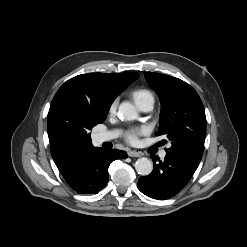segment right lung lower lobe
Instances as JSON below:
<instances>
[{
  "label": "right lung lower lobe",
  "instance_id": "1",
  "mask_svg": "<svg viewBox=\"0 0 247 247\" xmlns=\"http://www.w3.org/2000/svg\"><path fill=\"white\" fill-rule=\"evenodd\" d=\"M126 157L124 151L91 146L74 155L59 171L77 193L97 194L108 182L110 163Z\"/></svg>",
  "mask_w": 247,
  "mask_h": 247
}]
</instances>
